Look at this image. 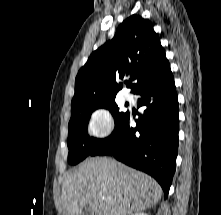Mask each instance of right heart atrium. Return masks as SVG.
<instances>
[{
  "instance_id": "right-heart-atrium-1",
  "label": "right heart atrium",
  "mask_w": 221,
  "mask_h": 215,
  "mask_svg": "<svg viewBox=\"0 0 221 215\" xmlns=\"http://www.w3.org/2000/svg\"><path fill=\"white\" fill-rule=\"evenodd\" d=\"M88 128L91 135L97 139L109 136L114 129V119L111 112L104 107L93 110L89 116Z\"/></svg>"
}]
</instances>
